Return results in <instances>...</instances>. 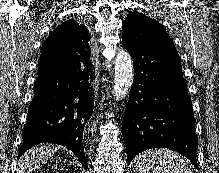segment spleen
Returning <instances> with one entry per match:
<instances>
[{
	"instance_id": "3e777b00",
	"label": "spleen",
	"mask_w": 219,
	"mask_h": 173,
	"mask_svg": "<svg viewBox=\"0 0 219 173\" xmlns=\"http://www.w3.org/2000/svg\"><path fill=\"white\" fill-rule=\"evenodd\" d=\"M134 164L138 173H193L179 154L165 149L142 152Z\"/></svg>"
}]
</instances>
